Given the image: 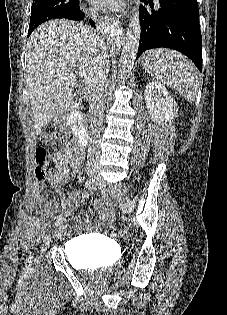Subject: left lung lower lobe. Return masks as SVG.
<instances>
[{
    "instance_id": "left-lung-lower-lobe-1",
    "label": "left lung lower lobe",
    "mask_w": 227,
    "mask_h": 315,
    "mask_svg": "<svg viewBox=\"0 0 227 315\" xmlns=\"http://www.w3.org/2000/svg\"><path fill=\"white\" fill-rule=\"evenodd\" d=\"M151 9L140 6L141 35L137 58L146 50L166 47L188 56L202 72V37L197 0H142Z\"/></svg>"
}]
</instances>
